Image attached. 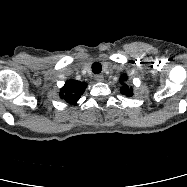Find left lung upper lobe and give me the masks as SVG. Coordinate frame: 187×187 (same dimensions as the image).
I'll return each instance as SVG.
<instances>
[{
    "label": "left lung upper lobe",
    "mask_w": 187,
    "mask_h": 187,
    "mask_svg": "<svg viewBox=\"0 0 187 187\" xmlns=\"http://www.w3.org/2000/svg\"><path fill=\"white\" fill-rule=\"evenodd\" d=\"M127 80V76L124 74L121 76V82L123 83V81H126ZM121 93L122 94H125L129 97H131L133 95V92H132V88L131 87H128L126 84L123 83V87L121 89Z\"/></svg>",
    "instance_id": "left-lung-upper-lobe-1"
}]
</instances>
